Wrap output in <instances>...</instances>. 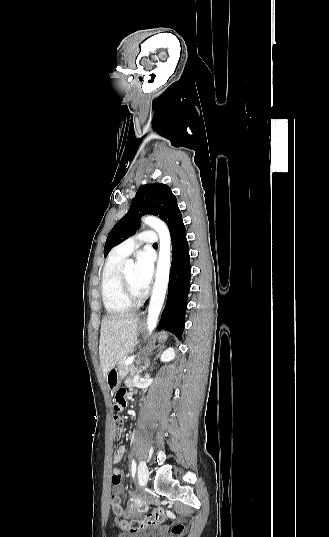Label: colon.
Segmentation results:
<instances>
[{
	"instance_id": "5ec220e1",
	"label": "colon",
	"mask_w": 329,
	"mask_h": 537,
	"mask_svg": "<svg viewBox=\"0 0 329 537\" xmlns=\"http://www.w3.org/2000/svg\"><path fill=\"white\" fill-rule=\"evenodd\" d=\"M126 405H127V402H126ZM123 430H124L123 420L119 416L114 417V424H113L114 438L116 439L119 438L121 434L123 433ZM110 505H111V509L113 513L116 516L120 517L123 513V506H122V501L118 495L113 494L111 496ZM165 517H166V514L164 510L156 509V510L148 512L141 519H131V520L122 519L119 521L120 527L118 528V531L120 533H123L126 528V531L128 533L137 535L140 533L141 529L143 528L161 524L164 521ZM184 531H185V526L182 523H177L172 527V534L174 535L179 536L183 534Z\"/></svg>"
}]
</instances>
